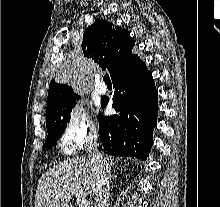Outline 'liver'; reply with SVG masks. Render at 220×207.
I'll use <instances>...</instances> for the list:
<instances>
[{
	"label": "liver",
	"instance_id": "liver-1",
	"mask_svg": "<svg viewBox=\"0 0 220 207\" xmlns=\"http://www.w3.org/2000/svg\"><path fill=\"white\" fill-rule=\"evenodd\" d=\"M109 166L113 159L106 156ZM97 171L85 156H77L53 166L40 178L36 190L35 207H67L73 196H87L94 192Z\"/></svg>",
	"mask_w": 220,
	"mask_h": 207
}]
</instances>
